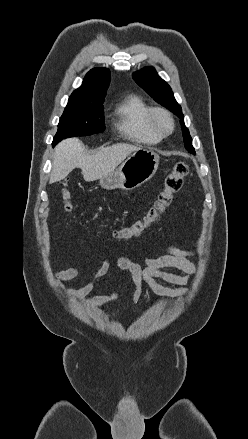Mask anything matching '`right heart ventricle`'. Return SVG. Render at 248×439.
Returning <instances> with one entry per match:
<instances>
[{
  "label": "right heart ventricle",
  "instance_id": "1",
  "mask_svg": "<svg viewBox=\"0 0 248 439\" xmlns=\"http://www.w3.org/2000/svg\"><path fill=\"white\" fill-rule=\"evenodd\" d=\"M152 110L140 96L130 94L116 104L112 113L113 125L128 140L155 145L161 141L162 136L151 125Z\"/></svg>",
  "mask_w": 248,
  "mask_h": 439
}]
</instances>
